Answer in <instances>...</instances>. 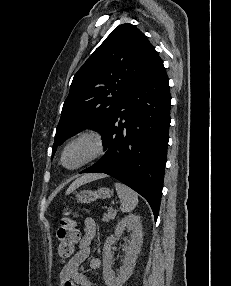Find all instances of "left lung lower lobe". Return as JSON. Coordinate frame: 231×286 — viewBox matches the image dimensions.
<instances>
[{"mask_svg":"<svg viewBox=\"0 0 231 286\" xmlns=\"http://www.w3.org/2000/svg\"><path fill=\"white\" fill-rule=\"evenodd\" d=\"M171 97L162 60L119 101L103 130L105 155L81 173L108 174L142 195L158 217ZM124 121V122H123Z\"/></svg>","mask_w":231,"mask_h":286,"instance_id":"obj_1","label":"left lung lower lobe"}]
</instances>
